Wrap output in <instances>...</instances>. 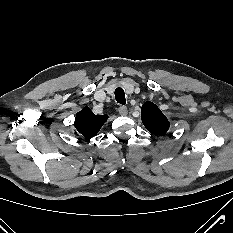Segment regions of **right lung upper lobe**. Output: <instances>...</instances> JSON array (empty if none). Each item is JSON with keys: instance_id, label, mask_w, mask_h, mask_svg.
<instances>
[{"instance_id": "obj_1", "label": "right lung upper lobe", "mask_w": 233, "mask_h": 233, "mask_svg": "<svg viewBox=\"0 0 233 233\" xmlns=\"http://www.w3.org/2000/svg\"><path fill=\"white\" fill-rule=\"evenodd\" d=\"M107 119V115H95L89 107H84L76 114L74 126L80 135L89 139L98 133Z\"/></svg>"}]
</instances>
